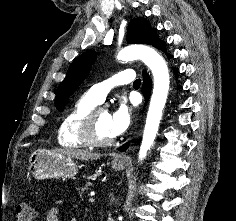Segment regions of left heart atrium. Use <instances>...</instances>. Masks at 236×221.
<instances>
[{"instance_id":"obj_1","label":"left heart atrium","mask_w":236,"mask_h":221,"mask_svg":"<svg viewBox=\"0 0 236 221\" xmlns=\"http://www.w3.org/2000/svg\"><path fill=\"white\" fill-rule=\"evenodd\" d=\"M133 120V110L125 103H120L110 114V128L113 136L124 133Z\"/></svg>"}]
</instances>
